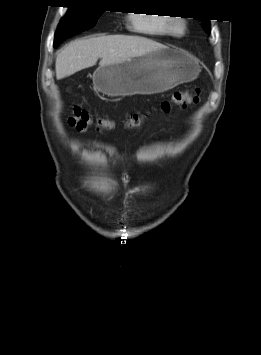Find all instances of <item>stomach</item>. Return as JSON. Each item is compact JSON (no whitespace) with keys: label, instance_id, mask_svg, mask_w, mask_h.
Segmentation results:
<instances>
[{"label":"stomach","instance_id":"1","mask_svg":"<svg viewBox=\"0 0 261 355\" xmlns=\"http://www.w3.org/2000/svg\"><path fill=\"white\" fill-rule=\"evenodd\" d=\"M199 73L196 58L164 46L123 62L100 65L93 73V83L98 91L112 97L157 94L193 81Z\"/></svg>","mask_w":261,"mask_h":355}]
</instances>
